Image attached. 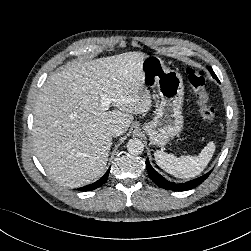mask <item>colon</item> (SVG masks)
I'll return each mask as SVG.
<instances>
[{
    "mask_svg": "<svg viewBox=\"0 0 251 251\" xmlns=\"http://www.w3.org/2000/svg\"><path fill=\"white\" fill-rule=\"evenodd\" d=\"M186 75L195 94L200 117L207 123L213 122L216 113L214 107L210 104L205 87L204 72L190 67L186 69Z\"/></svg>",
    "mask_w": 251,
    "mask_h": 251,
    "instance_id": "1",
    "label": "colon"
}]
</instances>
